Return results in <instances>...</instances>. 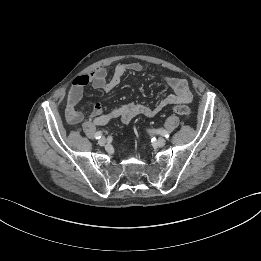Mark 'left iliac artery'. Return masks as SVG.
<instances>
[{
  "label": "left iliac artery",
  "mask_w": 261,
  "mask_h": 261,
  "mask_svg": "<svg viewBox=\"0 0 261 261\" xmlns=\"http://www.w3.org/2000/svg\"><path fill=\"white\" fill-rule=\"evenodd\" d=\"M155 132L157 134H160V135L164 136L165 138H169V133L166 130H164V129H158Z\"/></svg>",
  "instance_id": "obj_1"
}]
</instances>
